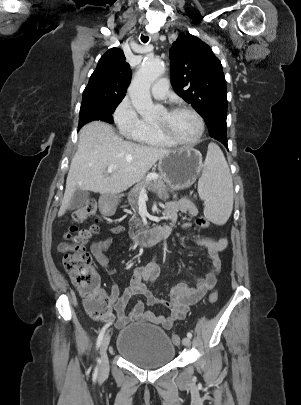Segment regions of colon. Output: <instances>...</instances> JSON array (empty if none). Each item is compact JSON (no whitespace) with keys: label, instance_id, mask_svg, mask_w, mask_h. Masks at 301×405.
I'll use <instances>...</instances> for the list:
<instances>
[{"label":"colon","instance_id":"1","mask_svg":"<svg viewBox=\"0 0 301 405\" xmlns=\"http://www.w3.org/2000/svg\"><path fill=\"white\" fill-rule=\"evenodd\" d=\"M95 213V202L88 201L71 215V220L73 223H83ZM196 224L200 228H207L210 222L205 217H199L196 219ZM97 231V223L91 224L88 228H79L73 224L67 233L69 243L63 249V264L73 284L84 298L91 317L107 321L112 316L110 303L99 287V277L93 268L91 256L85 248L88 239ZM208 300L210 303H215L218 300V293L213 291ZM171 339L175 345L181 343V338L177 334H173Z\"/></svg>","mask_w":301,"mask_h":405}]
</instances>
